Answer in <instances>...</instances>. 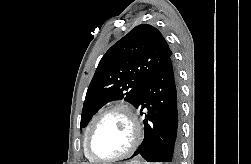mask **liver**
Masks as SVG:
<instances>
[{
	"label": "liver",
	"instance_id": "1",
	"mask_svg": "<svg viewBox=\"0 0 251 164\" xmlns=\"http://www.w3.org/2000/svg\"><path fill=\"white\" fill-rule=\"evenodd\" d=\"M135 161H131V162H127V163H129V164H133Z\"/></svg>",
	"mask_w": 251,
	"mask_h": 164
}]
</instances>
